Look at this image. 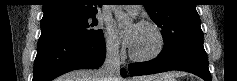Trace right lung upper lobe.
Wrapping results in <instances>:
<instances>
[{
    "instance_id": "obj_1",
    "label": "right lung upper lobe",
    "mask_w": 237,
    "mask_h": 81,
    "mask_svg": "<svg viewBox=\"0 0 237 81\" xmlns=\"http://www.w3.org/2000/svg\"><path fill=\"white\" fill-rule=\"evenodd\" d=\"M100 0H45L43 18L54 16H88L97 13Z\"/></svg>"
}]
</instances>
